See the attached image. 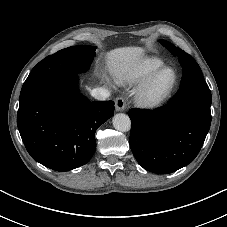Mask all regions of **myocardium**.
Returning a JSON list of instances; mask_svg holds the SVG:
<instances>
[{
  "instance_id": "1",
  "label": "myocardium",
  "mask_w": 227,
  "mask_h": 227,
  "mask_svg": "<svg viewBox=\"0 0 227 227\" xmlns=\"http://www.w3.org/2000/svg\"><path fill=\"white\" fill-rule=\"evenodd\" d=\"M166 71L173 74L172 83L162 91L155 90V84L159 76ZM178 84L177 71L170 66H163L154 71L148 78H146L137 90L136 99L140 106L146 108H153L164 103L173 93Z\"/></svg>"
}]
</instances>
